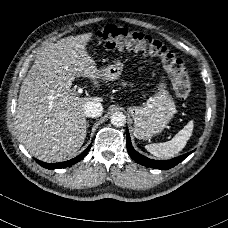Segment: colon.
<instances>
[{"instance_id":"5ec220e1","label":"colon","mask_w":228,"mask_h":228,"mask_svg":"<svg viewBox=\"0 0 228 228\" xmlns=\"http://www.w3.org/2000/svg\"><path fill=\"white\" fill-rule=\"evenodd\" d=\"M99 42L108 48L137 50L158 58L169 72L176 96L184 98L191 93V84L183 61L161 41L136 30L119 26H105L98 30Z\"/></svg>"}]
</instances>
